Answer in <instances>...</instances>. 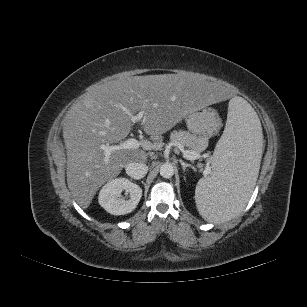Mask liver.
<instances>
[{
	"label": "liver",
	"instance_id": "1",
	"mask_svg": "<svg viewBox=\"0 0 307 307\" xmlns=\"http://www.w3.org/2000/svg\"><path fill=\"white\" fill-rule=\"evenodd\" d=\"M232 96L228 87L193 73L134 76L90 86L67 112L63 126L67 183L75 201L88 208L98 189L126 165L147 161L151 141H142V148L114 151L108 163L99 147L124 140L133 126L131 115L144 112L142 127L156 144L189 113L227 103Z\"/></svg>",
	"mask_w": 307,
	"mask_h": 307
}]
</instances>
